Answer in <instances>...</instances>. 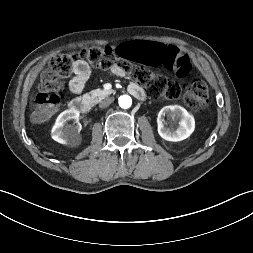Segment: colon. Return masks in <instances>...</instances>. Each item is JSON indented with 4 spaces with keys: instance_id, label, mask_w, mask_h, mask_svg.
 <instances>
[{
    "instance_id": "1",
    "label": "colon",
    "mask_w": 253,
    "mask_h": 253,
    "mask_svg": "<svg viewBox=\"0 0 253 253\" xmlns=\"http://www.w3.org/2000/svg\"><path fill=\"white\" fill-rule=\"evenodd\" d=\"M79 60L103 69L119 67L145 87L151 97L171 100L183 93L185 104L196 111L205 110L209 105L208 88L202 80L194 79L185 84L134 65L159 68L170 76L184 77L192 69V60L181 48L156 40L126 41L118 48L86 47L77 52L54 56L41 75L35 99L34 119L37 122H43L55 113L65 80Z\"/></svg>"
}]
</instances>
